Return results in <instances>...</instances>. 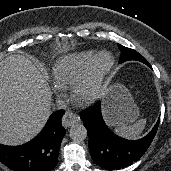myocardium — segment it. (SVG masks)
I'll return each mask as SVG.
<instances>
[{"label": "myocardium", "mask_w": 171, "mask_h": 171, "mask_svg": "<svg viewBox=\"0 0 171 171\" xmlns=\"http://www.w3.org/2000/svg\"><path fill=\"white\" fill-rule=\"evenodd\" d=\"M104 56L108 60L101 65L100 60ZM114 63L115 59L111 52L103 50L95 53L87 67L71 83V98L80 106H89L97 102L104 93L106 77L112 70ZM85 85H90L91 91L82 95L80 92Z\"/></svg>", "instance_id": "1"}]
</instances>
